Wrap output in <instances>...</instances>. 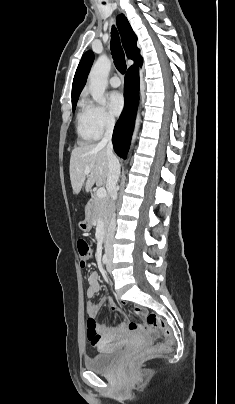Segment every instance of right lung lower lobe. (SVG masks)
<instances>
[{"instance_id": "right-lung-lower-lobe-1", "label": "right lung lower lobe", "mask_w": 235, "mask_h": 404, "mask_svg": "<svg viewBox=\"0 0 235 404\" xmlns=\"http://www.w3.org/2000/svg\"><path fill=\"white\" fill-rule=\"evenodd\" d=\"M138 65L131 66L125 76L124 96L125 108L117 121L113 132V146L118 156L126 158L134 128L139 99V70Z\"/></svg>"}]
</instances>
